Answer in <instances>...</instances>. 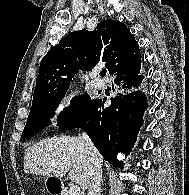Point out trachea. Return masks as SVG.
Masks as SVG:
<instances>
[{
    "label": "trachea",
    "mask_w": 189,
    "mask_h": 195,
    "mask_svg": "<svg viewBox=\"0 0 189 195\" xmlns=\"http://www.w3.org/2000/svg\"><path fill=\"white\" fill-rule=\"evenodd\" d=\"M106 72H107V70L103 69V70L101 71V73H100V76H101V77L105 76V75H106Z\"/></svg>",
    "instance_id": "obj_1"
}]
</instances>
